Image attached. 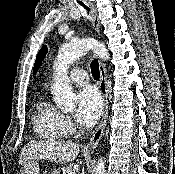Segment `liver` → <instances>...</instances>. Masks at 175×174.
Wrapping results in <instances>:
<instances>
[{
	"mask_svg": "<svg viewBox=\"0 0 175 174\" xmlns=\"http://www.w3.org/2000/svg\"><path fill=\"white\" fill-rule=\"evenodd\" d=\"M79 154V145L68 141H30L21 152L19 163L24 165L35 160H48L56 163L72 162Z\"/></svg>",
	"mask_w": 175,
	"mask_h": 174,
	"instance_id": "6515ba94",
	"label": "liver"
}]
</instances>
